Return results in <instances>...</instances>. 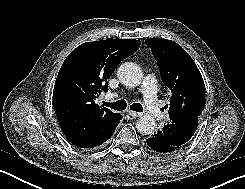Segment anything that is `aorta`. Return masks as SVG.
Segmentation results:
<instances>
[{"label": "aorta", "instance_id": "1", "mask_svg": "<svg viewBox=\"0 0 245 189\" xmlns=\"http://www.w3.org/2000/svg\"><path fill=\"white\" fill-rule=\"evenodd\" d=\"M117 77L122 84L135 87L141 83L143 73L137 64L126 62L121 64L118 68ZM155 126L154 117L149 114H144L138 119L136 127L141 134L147 135L153 133Z\"/></svg>", "mask_w": 245, "mask_h": 189}]
</instances>
